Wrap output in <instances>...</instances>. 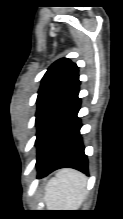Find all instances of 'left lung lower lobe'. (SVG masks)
I'll return each mask as SVG.
<instances>
[{"mask_svg": "<svg viewBox=\"0 0 123 219\" xmlns=\"http://www.w3.org/2000/svg\"><path fill=\"white\" fill-rule=\"evenodd\" d=\"M78 88L55 110L36 140L38 177L60 168H74L88 173V160L77 117L81 100Z\"/></svg>", "mask_w": 123, "mask_h": 219, "instance_id": "0a47b994", "label": "left lung lower lobe"}]
</instances>
